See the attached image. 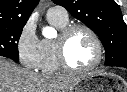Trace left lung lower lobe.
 I'll list each match as a JSON object with an SVG mask.
<instances>
[{
    "label": "left lung lower lobe",
    "mask_w": 127,
    "mask_h": 92,
    "mask_svg": "<svg viewBox=\"0 0 127 92\" xmlns=\"http://www.w3.org/2000/svg\"><path fill=\"white\" fill-rule=\"evenodd\" d=\"M107 66H119L127 68V55H120L111 61L105 62Z\"/></svg>",
    "instance_id": "0a47b994"
}]
</instances>
